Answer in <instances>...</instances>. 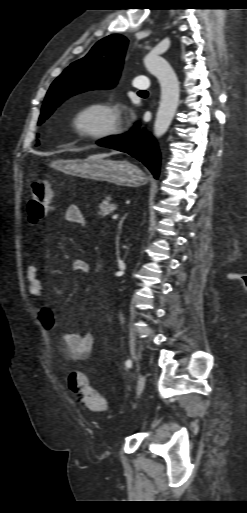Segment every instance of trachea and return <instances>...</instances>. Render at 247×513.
Here are the masks:
<instances>
[{
    "mask_svg": "<svg viewBox=\"0 0 247 513\" xmlns=\"http://www.w3.org/2000/svg\"><path fill=\"white\" fill-rule=\"evenodd\" d=\"M139 93H142V94H147L148 92L147 91H139ZM245 281H247V277H244Z\"/></svg>",
    "mask_w": 247,
    "mask_h": 513,
    "instance_id": "1",
    "label": "trachea"
}]
</instances>
